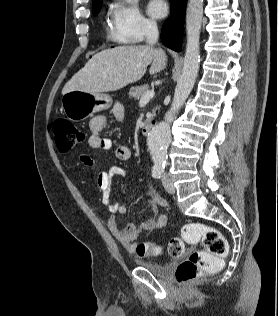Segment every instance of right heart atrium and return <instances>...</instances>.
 <instances>
[{
    "mask_svg": "<svg viewBox=\"0 0 278 316\" xmlns=\"http://www.w3.org/2000/svg\"><path fill=\"white\" fill-rule=\"evenodd\" d=\"M111 35L120 43H137L144 40L157 28L156 22L146 16L134 5L121 0L111 3L109 9Z\"/></svg>",
    "mask_w": 278,
    "mask_h": 316,
    "instance_id": "obj_1",
    "label": "right heart atrium"
}]
</instances>
